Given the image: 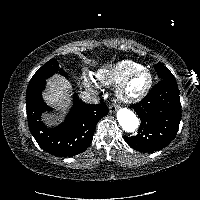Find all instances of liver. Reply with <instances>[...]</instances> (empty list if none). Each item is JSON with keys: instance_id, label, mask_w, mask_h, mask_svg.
<instances>
[{"instance_id": "1", "label": "liver", "mask_w": 200, "mask_h": 200, "mask_svg": "<svg viewBox=\"0 0 200 200\" xmlns=\"http://www.w3.org/2000/svg\"><path fill=\"white\" fill-rule=\"evenodd\" d=\"M43 98L47 104L63 112L71 103L70 86L67 80L57 75L47 81V90L43 93ZM47 124L53 125L56 120L53 116H45Z\"/></svg>"}]
</instances>
